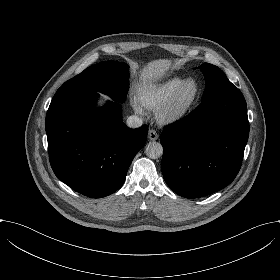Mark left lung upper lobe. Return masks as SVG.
<instances>
[{
  "instance_id": "1",
  "label": "left lung upper lobe",
  "mask_w": 280,
  "mask_h": 280,
  "mask_svg": "<svg viewBox=\"0 0 280 280\" xmlns=\"http://www.w3.org/2000/svg\"><path fill=\"white\" fill-rule=\"evenodd\" d=\"M205 77V90L201 103L211 100L222 94L237 90L228 80L225 73L215 65L204 63L200 66Z\"/></svg>"
}]
</instances>
